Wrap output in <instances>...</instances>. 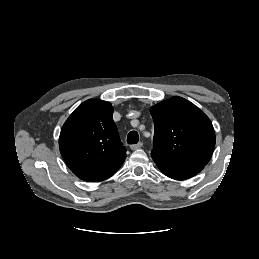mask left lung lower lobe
<instances>
[{"instance_id": "left-lung-lower-lobe-1", "label": "left lung lower lobe", "mask_w": 259, "mask_h": 259, "mask_svg": "<svg viewBox=\"0 0 259 259\" xmlns=\"http://www.w3.org/2000/svg\"><path fill=\"white\" fill-rule=\"evenodd\" d=\"M152 158L163 174L175 180H184L193 177L206 165L194 162H177L157 155H152Z\"/></svg>"}]
</instances>
